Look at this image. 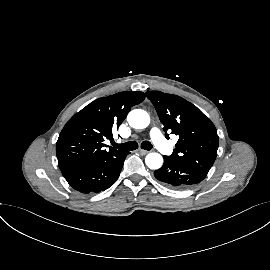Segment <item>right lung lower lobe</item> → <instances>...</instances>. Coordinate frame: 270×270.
Returning a JSON list of instances; mask_svg holds the SVG:
<instances>
[{
	"mask_svg": "<svg viewBox=\"0 0 270 270\" xmlns=\"http://www.w3.org/2000/svg\"><path fill=\"white\" fill-rule=\"evenodd\" d=\"M128 154L129 152L123 151L105 159L68 169L62 174L75 190L81 193H98L115 183Z\"/></svg>",
	"mask_w": 270,
	"mask_h": 270,
	"instance_id": "98d812e1",
	"label": "right lung lower lobe"
}]
</instances>
